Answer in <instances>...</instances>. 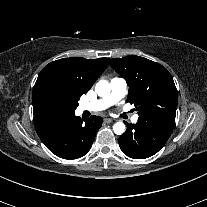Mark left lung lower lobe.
I'll return each instance as SVG.
<instances>
[{
	"instance_id": "0a47b994",
	"label": "left lung lower lobe",
	"mask_w": 207,
	"mask_h": 207,
	"mask_svg": "<svg viewBox=\"0 0 207 207\" xmlns=\"http://www.w3.org/2000/svg\"><path fill=\"white\" fill-rule=\"evenodd\" d=\"M174 123L156 119H138L127 124L126 132L118 139L123 153L133 159H145L156 154L170 137Z\"/></svg>"
}]
</instances>
